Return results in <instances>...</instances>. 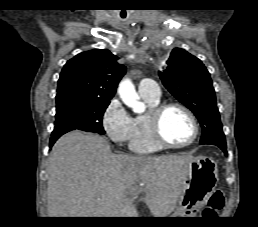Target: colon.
<instances>
[{
	"label": "colon",
	"instance_id": "obj_1",
	"mask_svg": "<svg viewBox=\"0 0 258 227\" xmlns=\"http://www.w3.org/2000/svg\"><path fill=\"white\" fill-rule=\"evenodd\" d=\"M224 206V195L220 189L215 190L209 198L207 207L204 210L206 215H213Z\"/></svg>",
	"mask_w": 258,
	"mask_h": 227
}]
</instances>
